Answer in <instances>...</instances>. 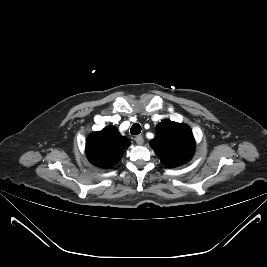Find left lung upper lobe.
<instances>
[{
    "mask_svg": "<svg viewBox=\"0 0 267 267\" xmlns=\"http://www.w3.org/2000/svg\"><path fill=\"white\" fill-rule=\"evenodd\" d=\"M150 146L166 167H175L192 158L195 141L187 125L165 120L157 125Z\"/></svg>",
    "mask_w": 267,
    "mask_h": 267,
    "instance_id": "1",
    "label": "left lung upper lobe"
}]
</instances>
